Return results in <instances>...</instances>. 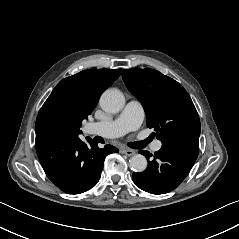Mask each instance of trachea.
Instances as JSON below:
<instances>
[{
	"label": "trachea",
	"instance_id": "1",
	"mask_svg": "<svg viewBox=\"0 0 239 239\" xmlns=\"http://www.w3.org/2000/svg\"><path fill=\"white\" fill-rule=\"evenodd\" d=\"M146 144H147V143H144V142L142 141V142L129 143L128 146L131 147V148L138 149V148H143L144 146H146Z\"/></svg>",
	"mask_w": 239,
	"mask_h": 239
}]
</instances>
